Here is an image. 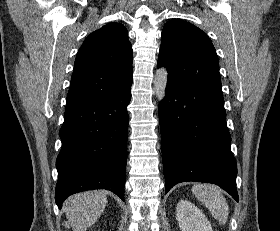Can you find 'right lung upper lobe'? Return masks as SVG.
I'll list each match as a JSON object with an SVG mask.
<instances>
[{
	"mask_svg": "<svg viewBox=\"0 0 280 231\" xmlns=\"http://www.w3.org/2000/svg\"><path fill=\"white\" fill-rule=\"evenodd\" d=\"M132 85L127 29L112 22L91 33L75 59L66 108L121 93Z\"/></svg>",
	"mask_w": 280,
	"mask_h": 231,
	"instance_id": "cb5924a9",
	"label": "right lung upper lobe"
}]
</instances>
